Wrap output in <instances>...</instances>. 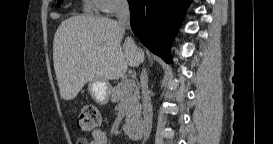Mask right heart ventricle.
<instances>
[{
    "mask_svg": "<svg viewBox=\"0 0 273 144\" xmlns=\"http://www.w3.org/2000/svg\"><path fill=\"white\" fill-rule=\"evenodd\" d=\"M94 7H95V3L94 2L87 1L86 4H85V7H84L85 12L89 13V14L92 13Z\"/></svg>",
    "mask_w": 273,
    "mask_h": 144,
    "instance_id": "e07e8e85",
    "label": "right heart ventricle"
}]
</instances>
